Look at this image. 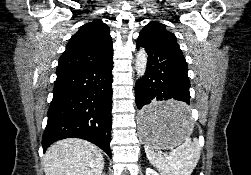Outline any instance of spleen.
Returning a JSON list of instances; mask_svg holds the SVG:
<instances>
[{
    "mask_svg": "<svg viewBox=\"0 0 251 175\" xmlns=\"http://www.w3.org/2000/svg\"><path fill=\"white\" fill-rule=\"evenodd\" d=\"M162 123L163 119L150 117L149 133L151 137H157V135H159ZM179 125L182 133H184V143L179 145L174 153H170V155L156 153L152 143L145 141L146 155L149 161L159 169L161 175H190L198 163L201 147L196 137L194 141L190 139L193 121L188 109H182V115L179 117Z\"/></svg>",
    "mask_w": 251,
    "mask_h": 175,
    "instance_id": "obj_1",
    "label": "spleen"
}]
</instances>
